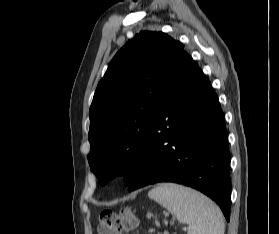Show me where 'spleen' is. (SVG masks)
<instances>
[{"label": "spleen", "instance_id": "obj_1", "mask_svg": "<svg viewBox=\"0 0 279 234\" xmlns=\"http://www.w3.org/2000/svg\"><path fill=\"white\" fill-rule=\"evenodd\" d=\"M148 196L189 225L188 234H224V218L219 207L202 193L175 183H162Z\"/></svg>", "mask_w": 279, "mask_h": 234}]
</instances>
